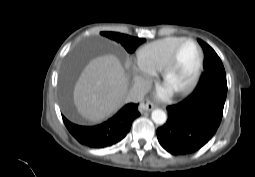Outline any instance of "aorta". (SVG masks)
<instances>
[{"label": "aorta", "mask_w": 255, "mask_h": 177, "mask_svg": "<svg viewBox=\"0 0 255 177\" xmlns=\"http://www.w3.org/2000/svg\"><path fill=\"white\" fill-rule=\"evenodd\" d=\"M151 117H152V120L154 121V123H156L158 125L164 124L167 120L166 113L161 109L153 110L152 114H151Z\"/></svg>", "instance_id": "762f6f07"}]
</instances>
